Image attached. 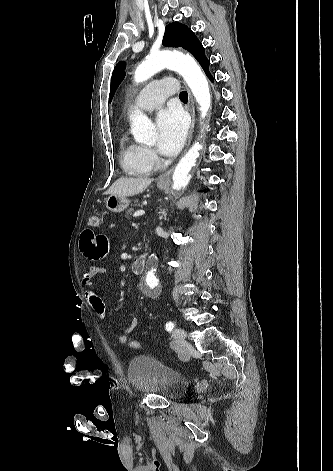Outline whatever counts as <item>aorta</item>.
Masks as SVG:
<instances>
[{
    "mask_svg": "<svg viewBox=\"0 0 333 471\" xmlns=\"http://www.w3.org/2000/svg\"><path fill=\"white\" fill-rule=\"evenodd\" d=\"M163 68L177 71L191 89L196 102L200 105L201 118L207 116L211 107V96L208 81L196 61L185 55L171 51H160L150 54L135 70L134 81L141 83L148 80ZM132 134L137 142L151 143L156 140L154 124L141 112H136L131 121ZM200 145L195 142L189 151L182 157L173 173V187L181 190L188 185L190 171L199 157ZM146 291L153 293V289L159 284L155 276V267L150 265L145 272Z\"/></svg>",
    "mask_w": 333,
    "mask_h": 471,
    "instance_id": "1",
    "label": "aorta"
}]
</instances>
